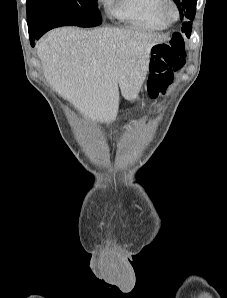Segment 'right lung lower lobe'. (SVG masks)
I'll return each instance as SVG.
<instances>
[{"instance_id":"right-lung-lower-lobe-1","label":"right lung lower lobe","mask_w":227,"mask_h":298,"mask_svg":"<svg viewBox=\"0 0 227 298\" xmlns=\"http://www.w3.org/2000/svg\"><path fill=\"white\" fill-rule=\"evenodd\" d=\"M44 33H45V31L29 34L31 45L34 46L35 40L39 39Z\"/></svg>"}]
</instances>
